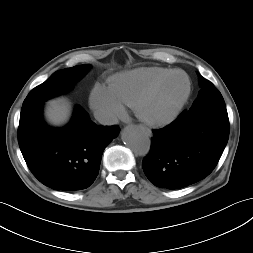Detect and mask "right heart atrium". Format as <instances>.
<instances>
[{
	"label": "right heart atrium",
	"instance_id": "obj_1",
	"mask_svg": "<svg viewBox=\"0 0 253 253\" xmlns=\"http://www.w3.org/2000/svg\"><path fill=\"white\" fill-rule=\"evenodd\" d=\"M90 105L104 121L111 122L124 117L125 107L115 97L111 89L102 84H96L90 94Z\"/></svg>",
	"mask_w": 253,
	"mask_h": 253
}]
</instances>
